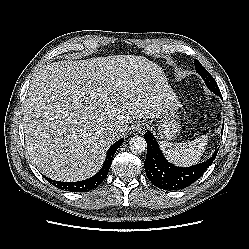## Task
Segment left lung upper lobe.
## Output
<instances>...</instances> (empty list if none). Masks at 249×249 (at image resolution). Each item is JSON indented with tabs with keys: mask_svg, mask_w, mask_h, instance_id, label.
Returning <instances> with one entry per match:
<instances>
[{
	"mask_svg": "<svg viewBox=\"0 0 249 249\" xmlns=\"http://www.w3.org/2000/svg\"><path fill=\"white\" fill-rule=\"evenodd\" d=\"M195 68H196V72L199 73V75L205 81V84L207 85L209 90L215 93L216 95H220L221 92L219 90V87L216 81L211 76V74L201 65V63L198 60H195Z\"/></svg>",
	"mask_w": 249,
	"mask_h": 249,
	"instance_id": "5c2ea615",
	"label": "left lung upper lobe"
}]
</instances>
